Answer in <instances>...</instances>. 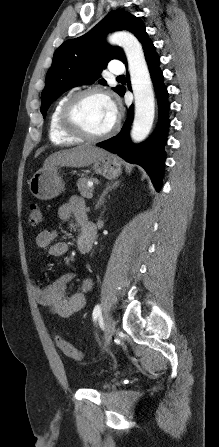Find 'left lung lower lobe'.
I'll return each instance as SVG.
<instances>
[{"mask_svg":"<svg viewBox=\"0 0 219 447\" xmlns=\"http://www.w3.org/2000/svg\"><path fill=\"white\" fill-rule=\"evenodd\" d=\"M141 43L158 100L159 121L157 128L145 142L138 145L131 144L129 131L134 116L133 106H131L129 111H127L126 123L123 125L119 134L98 143L97 146L118 154L130 163L141 165L150 175L156 190L160 191L162 185V170L165 161L164 147L167 141V130L169 126L168 111L170 104L167 101L168 92L163 83V73L159 68L160 57L157 55L155 47L148 36ZM125 64L127 65V62ZM125 91L126 89L124 88L121 96L124 95Z\"/></svg>","mask_w":219,"mask_h":447,"instance_id":"left-lung-lower-lobe-1","label":"left lung lower lobe"}]
</instances>
